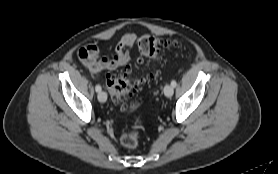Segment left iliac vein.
<instances>
[{
    "instance_id": "1",
    "label": "left iliac vein",
    "mask_w": 278,
    "mask_h": 174,
    "mask_svg": "<svg viewBox=\"0 0 278 174\" xmlns=\"http://www.w3.org/2000/svg\"><path fill=\"white\" fill-rule=\"evenodd\" d=\"M174 93V89L171 85L167 84L165 87H164V94L166 97H171Z\"/></svg>"
}]
</instances>
